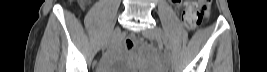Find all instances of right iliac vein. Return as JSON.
Instances as JSON below:
<instances>
[{"instance_id": "right-iliac-vein-1", "label": "right iliac vein", "mask_w": 267, "mask_h": 72, "mask_svg": "<svg viewBox=\"0 0 267 72\" xmlns=\"http://www.w3.org/2000/svg\"><path fill=\"white\" fill-rule=\"evenodd\" d=\"M120 33H121L120 28L116 27L114 31L112 32L111 36L109 37V39L104 43V47H107L113 44L115 40L117 39V37L120 35Z\"/></svg>"}]
</instances>
